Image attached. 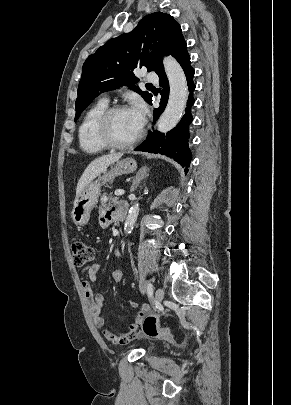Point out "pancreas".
Instances as JSON below:
<instances>
[{"instance_id": "cf45deb5", "label": "pancreas", "mask_w": 291, "mask_h": 405, "mask_svg": "<svg viewBox=\"0 0 291 405\" xmlns=\"http://www.w3.org/2000/svg\"><path fill=\"white\" fill-rule=\"evenodd\" d=\"M117 198L109 196L107 197L105 194L102 195L101 197V202L99 206V213H101L103 210L109 208L113 202H115Z\"/></svg>"}]
</instances>
